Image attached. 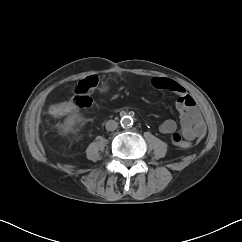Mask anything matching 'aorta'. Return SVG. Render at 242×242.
<instances>
[{"label":"aorta","instance_id":"aorta-1","mask_svg":"<svg viewBox=\"0 0 242 242\" xmlns=\"http://www.w3.org/2000/svg\"><path fill=\"white\" fill-rule=\"evenodd\" d=\"M121 124L125 127L130 126L133 124V119L130 116H123L121 118Z\"/></svg>","mask_w":242,"mask_h":242}]
</instances>
